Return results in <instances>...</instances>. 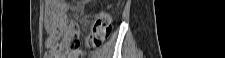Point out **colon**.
<instances>
[{"instance_id": "5ec220e1", "label": "colon", "mask_w": 225, "mask_h": 58, "mask_svg": "<svg viewBox=\"0 0 225 58\" xmlns=\"http://www.w3.org/2000/svg\"><path fill=\"white\" fill-rule=\"evenodd\" d=\"M112 30L111 17L106 12H99L93 22L90 34L86 39V45L89 48L100 47L110 36ZM81 42L78 38V30L75 25H70L66 39L63 43L57 44L51 54L54 57H64L66 54H72L73 58L80 57Z\"/></svg>"}]
</instances>
